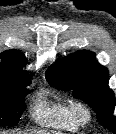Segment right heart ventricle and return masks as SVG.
Instances as JSON below:
<instances>
[{
  "mask_svg": "<svg viewBox=\"0 0 116 134\" xmlns=\"http://www.w3.org/2000/svg\"><path fill=\"white\" fill-rule=\"evenodd\" d=\"M32 115L38 123L54 129L76 131L79 128V124L69 114L64 100L48 91L38 93Z\"/></svg>",
  "mask_w": 116,
  "mask_h": 134,
  "instance_id": "right-heart-ventricle-1",
  "label": "right heart ventricle"
}]
</instances>
